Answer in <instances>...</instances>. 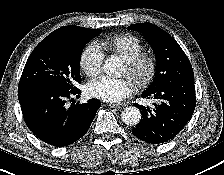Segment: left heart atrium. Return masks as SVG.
Here are the masks:
<instances>
[{"instance_id":"1","label":"left heart atrium","mask_w":224,"mask_h":175,"mask_svg":"<svg viewBox=\"0 0 224 175\" xmlns=\"http://www.w3.org/2000/svg\"><path fill=\"white\" fill-rule=\"evenodd\" d=\"M134 90L129 78L99 77L87 86L88 93L106 102H118L130 96Z\"/></svg>"}]
</instances>
